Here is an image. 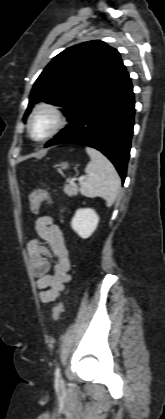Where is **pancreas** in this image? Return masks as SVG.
<instances>
[{"instance_id":"pancreas-1","label":"pancreas","mask_w":165,"mask_h":419,"mask_svg":"<svg viewBox=\"0 0 165 419\" xmlns=\"http://www.w3.org/2000/svg\"><path fill=\"white\" fill-rule=\"evenodd\" d=\"M63 190L70 197L77 195L79 191L76 184H66Z\"/></svg>"}]
</instances>
